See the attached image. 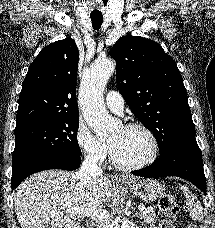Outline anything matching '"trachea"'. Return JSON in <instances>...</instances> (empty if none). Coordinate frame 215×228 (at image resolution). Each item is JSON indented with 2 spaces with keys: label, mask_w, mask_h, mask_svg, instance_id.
Masks as SVG:
<instances>
[{
  "label": "trachea",
  "mask_w": 215,
  "mask_h": 228,
  "mask_svg": "<svg viewBox=\"0 0 215 228\" xmlns=\"http://www.w3.org/2000/svg\"><path fill=\"white\" fill-rule=\"evenodd\" d=\"M92 26L95 30H99L103 23V15L101 13L91 14Z\"/></svg>",
  "instance_id": "3493384b"
}]
</instances>
